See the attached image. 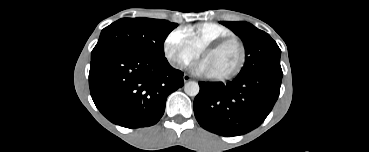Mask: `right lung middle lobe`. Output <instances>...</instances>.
Returning a JSON list of instances; mask_svg holds the SVG:
<instances>
[{
    "label": "right lung middle lobe",
    "instance_id": "1",
    "mask_svg": "<svg viewBox=\"0 0 369 152\" xmlns=\"http://www.w3.org/2000/svg\"><path fill=\"white\" fill-rule=\"evenodd\" d=\"M177 26L167 20L122 18L102 30L91 59L113 51H130L165 58L164 41Z\"/></svg>",
    "mask_w": 369,
    "mask_h": 152
}]
</instances>
